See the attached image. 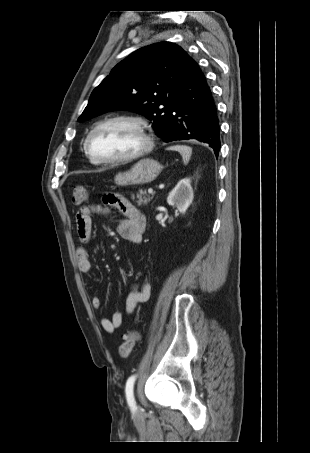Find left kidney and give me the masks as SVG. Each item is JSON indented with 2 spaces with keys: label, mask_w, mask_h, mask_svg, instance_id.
Instances as JSON below:
<instances>
[{
  "label": "left kidney",
  "mask_w": 310,
  "mask_h": 453,
  "mask_svg": "<svg viewBox=\"0 0 310 453\" xmlns=\"http://www.w3.org/2000/svg\"><path fill=\"white\" fill-rule=\"evenodd\" d=\"M193 201V190L189 178L178 182L175 188L169 193L167 203L184 214Z\"/></svg>",
  "instance_id": "1"
}]
</instances>
